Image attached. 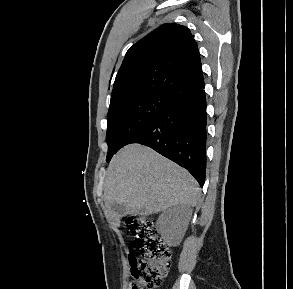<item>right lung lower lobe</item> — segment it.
I'll use <instances>...</instances> for the list:
<instances>
[{
	"mask_svg": "<svg viewBox=\"0 0 293 289\" xmlns=\"http://www.w3.org/2000/svg\"><path fill=\"white\" fill-rule=\"evenodd\" d=\"M140 143L185 167L203 186L206 170V96L201 91L173 103L127 143Z\"/></svg>",
	"mask_w": 293,
	"mask_h": 289,
	"instance_id": "obj_1",
	"label": "right lung lower lobe"
}]
</instances>
